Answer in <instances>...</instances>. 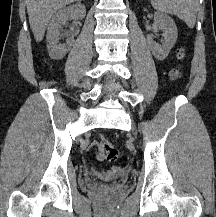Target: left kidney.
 Here are the masks:
<instances>
[{"mask_svg": "<svg viewBox=\"0 0 216 217\" xmlns=\"http://www.w3.org/2000/svg\"><path fill=\"white\" fill-rule=\"evenodd\" d=\"M154 22L163 30L164 40L162 45H159L153 41L152 37H147V43L154 57L158 60H164L177 40V27L170 16L161 12L154 14Z\"/></svg>", "mask_w": 216, "mask_h": 217, "instance_id": "left-kidney-1", "label": "left kidney"}]
</instances>
